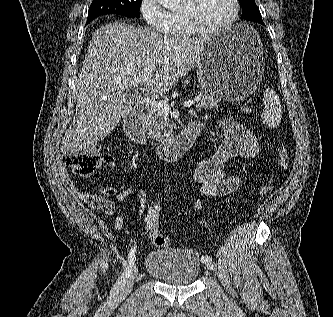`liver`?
<instances>
[{
    "instance_id": "obj_1",
    "label": "liver",
    "mask_w": 333,
    "mask_h": 317,
    "mask_svg": "<svg viewBox=\"0 0 333 317\" xmlns=\"http://www.w3.org/2000/svg\"><path fill=\"white\" fill-rule=\"evenodd\" d=\"M208 39L180 38L124 22L97 29L82 63L76 113L62 138L61 152L90 150L132 115L129 88L144 83L152 93L170 90L196 63Z\"/></svg>"
}]
</instances>
